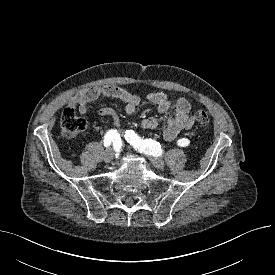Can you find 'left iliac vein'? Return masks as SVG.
I'll list each match as a JSON object with an SVG mask.
<instances>
[{
  "label": "left iliac vein",
  "mask_w": 275,
  "mask_h": 275,
  "mask_svg": "<svg viewBox=\"0 0 275 275\" xmlns=\"http://www.w3.org/2000/svg\"><path fill=\"white\" fill-rule=\"evenodd\" d=\"M150 161L153 166L159 170H163L165 168V162L160 157H151Z\"/></svg>",
  "instance_id": "obj_1"
}]
</instances>
